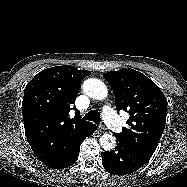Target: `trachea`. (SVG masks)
<instances>
[{
    "instance_id": "trachea-1",
    "label": "trachea",
    "mask_w": 187,
    "mask_h": 187,
    "mask_svg": "<svg viewBox=\"0 0 187 187\" xmlns=\"http://www.w3.org/2000/svg\"><path fill=\"white\" fill-rule=\"evenodd\" d=\"M84 119L93 121L96 124H100V114L97 110L89 111L85 116Z\"/></svg>"
}]
</instances>
